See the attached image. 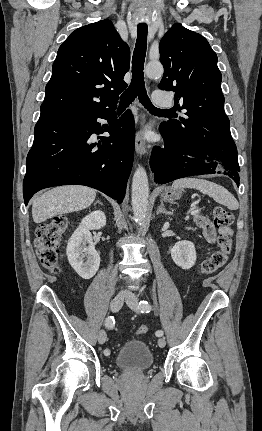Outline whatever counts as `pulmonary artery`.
<instances>
[{
    "label": "pulmonary artery",
    "mask_w": 262,
    "mask_h": 431,
    "mask_svg": "<svg viewBox=\"0 0 262 431\" xmlns=\"http://www.w3.org/2000/svg\"><path fill=\"white\" fill-rule=\"evenodd\" d=\"M152 99L154 103L158 106H170V102L168 101L165 93H163L162 91H155L152 95Z\"/></svg>",
    "instance_id": "obj_1"
}]
</instances>
